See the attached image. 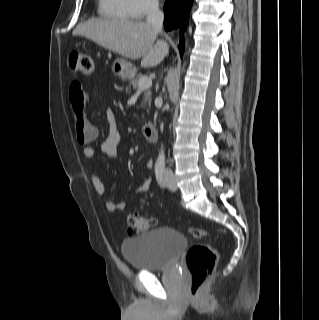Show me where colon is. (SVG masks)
<instances>
[{"label": "colon", "mask_w": 319, "mask_h": 320, "mask_svg": "<svg viewBox=\"0 0 319 320\" xmlns=\"http://www.w3.org/2000/svg\"><path fill=\"white\" fill-rule=\"evenodd\" d=\"M71 69L82 76H90L94 70V60L89 54L73 52L69 57ZM76 140L85 144L95 138V133L83 117H74ZM128 230L137 235L157 224V219L152 216L130 214L127 217ZM188 233L196 239L210 237L204 229L190 228ZM218 260V253L210 244H197L189 248L186 254V265L191 276L189 292L193 297L201 295V288L205 281L212 276Z\"/></svg>", "instance_id": "colon-1"}]
</instances>
